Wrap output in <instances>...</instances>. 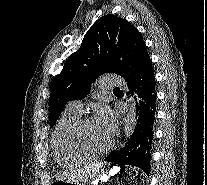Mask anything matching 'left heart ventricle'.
Returning a JSON list of instances; mask_svg holds the SVG:
<instances>
[{"mask_svg":"<svg viewBox=\"0 0 207 185\" xmlns=\"http://www.w3.org/2000/svg\"><path fill=\"white\" fill-rule=\"evenodd\" d=\"M111 137L112 136L100 128L94 120L88 122L83 130V138L85 142L94 150L105 149L108 146Z\"/></svg>","mask_w":207,"mask_h":185,"instance_id":"b2bd125f","label":"left heart ventricle"}]
</instances>
